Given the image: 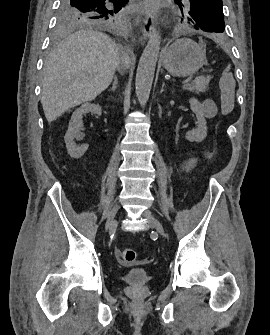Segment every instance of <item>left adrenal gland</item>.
I'll list each match as a JSON object with an SVG mask.
<instances>
[{
    "instance_id": "a2214340",
    "label": "left adrenal gland",
    "mask_w": 270,
    "mask_h": 335,
    "mask_svg": "<svg viewBox=\"0 0 270 335\" xmlns=\"http://www.w3.org/2000/svg\"><path fill=\"white\" fill-rule=\"evenodd\" d=\"M164 86H165V82H163V84H162L161 94H162V92H164Z\"/></svg>"
}]
</instances>
